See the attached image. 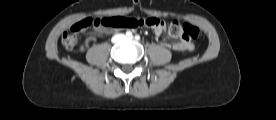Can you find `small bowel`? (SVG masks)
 Returning <instances> with one entry per match:
<instances>
[{"label":"small bowel","instance_id":"c3829d8e","mask_svg":"<svg viewBox=\"0 0 276 120\" xmlns=\"http://www.w3.org/2000/svg\"><path fill=\"white\" fill-rule=\"evenodd\" d=\"M154 31L157 35L163 34L164 31H165L164 23H161L160 25L154 27ZM92 39H94V36L89 37L86 40L85 44L82 46V48H84L87 45V43ZM163 45H165L167 47H170L174 50H179V51H192L193 50V45L191 43L187 42V41L166 43V44H163Z\"/></svg>","mask_w":276,"mask_h":120}]
</instances>
